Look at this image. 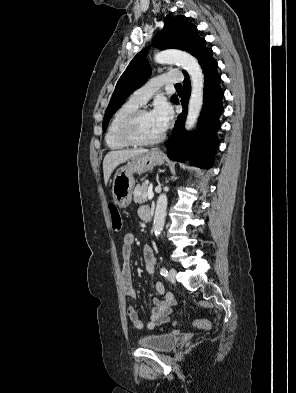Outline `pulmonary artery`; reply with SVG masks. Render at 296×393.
<instances>
[{
    "mask_svg": "<svg viewBox=\"0 0 296 393\" xmlns=\"http://www.w3.org/2000/svg\"><path fill=\"white\" fill-rule=\"evenodd\" d=\"M182 81L183 77L177 70L169 71L165 74L154 77L151 81L135 90L129 100L140 106L144 105L162 85L168 83H180Z\"/></svg>",
    "mask_w": 296,
    "mask_h": 393,
    "instance_id": "obj_1",
    "label": "pulmonary artery"
}]
</instances>
